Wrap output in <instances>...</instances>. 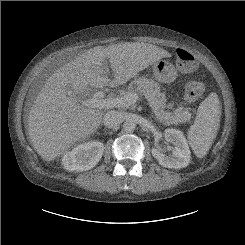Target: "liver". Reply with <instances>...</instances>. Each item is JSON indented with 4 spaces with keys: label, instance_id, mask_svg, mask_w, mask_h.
<instances>
[{
    "label": "liver",
    "instance_id": "6515ba94",
    "mask_svg": "<svg viewBox=\"0 0 245 245\" xmlns=\"http://www.w3.org/2000/svg\"><path fill=\"white\" fill-rule=\"evenodd\" d=\"M147 43L124 42L91 48L56 70L38 93L28 116L34 150L51 161L99 128L104 112L82 105L90 88L125 84L156 61L170 57ZM108 60L113 80L101 72Z\"/></svg>",
    "mask_w": 245,
    "mask_h": 245
}]
</instances>
